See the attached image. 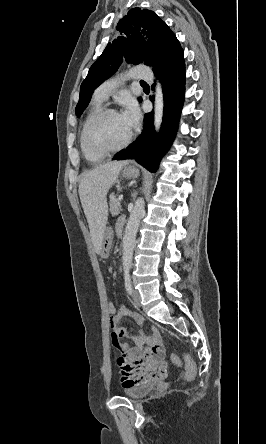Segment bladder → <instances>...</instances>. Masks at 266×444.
<instances>
[{"instance_id": "obj_1", "label": "bladder", "mask_w": 266, "mask_h": 444, "mask_svg": "<svg viewBox=\"0 0 266 444\" xmlns=\"http://www.w3.org/2000/svg\"><path fill=\"white\" fill-rule=\"evenodd\" d=\"M154 388L153 384L140 385L126 389L124 394L131 399H140L148 395Z\"/></svg>"}]
</instances>
